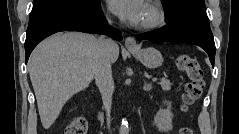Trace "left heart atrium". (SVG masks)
Masks as SVG:
<instances>
[{
	"label": "left heart atrium",
	"instance_id": "1",
	"mask_svg": "<svg viewBox=\"0 0 239 134\" xmlns=\"http://www.w3.org/2000/svg\"><path fill=\"white\" fill-rule=\"evenodd\" d=\"M112 10L126 22L141 23L146 6L142 0H110Z\"/></svg>",
	"mask_w": 239,
	"mask_h": 134
}]
</instances>
